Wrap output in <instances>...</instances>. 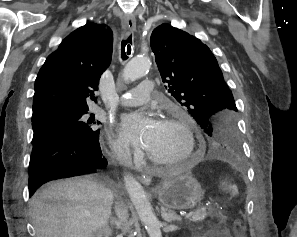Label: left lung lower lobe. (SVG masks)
<instances>
[{
  "label": "left lung lower lobe",
  "instance_id": "0a47b994",
  "mask_svg": "<svg viewBox=\"0 0 297 237\" xmlns=\"http://www.w3.org/2000/svg\"><path fill=\"white\" fill-rule=\"evenodd\" d=\"M206 154H208L209 156L224 157V156L220 155V153H218V151L214 148H208L206 151Z\"/></svg>",
  "mask_w": 297,
  "mask_h": 237
}]
</instances>
